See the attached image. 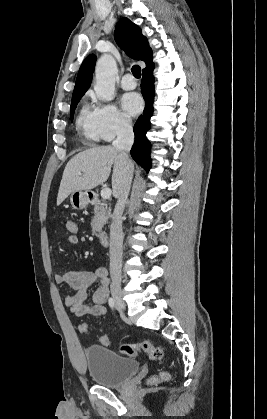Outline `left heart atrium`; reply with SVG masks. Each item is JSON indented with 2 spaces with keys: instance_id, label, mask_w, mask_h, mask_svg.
<instances>
[{
  "instance_id": "1",
  "label": "left heart atrium",
  "mask_w": 267,
  "mask_h": 419,
  "mask_svg": "<svg viewBox=\"0 0 267 419\" xmlns=\"http://www.w3.org/2000/svg\"><path fill=\"white\" fill-rule=\"evenodd\" d=\"M122 107L130 116L139 114L143 108V100L138 93H126L121 98Z\"/></svg>"
}]
</instances>
